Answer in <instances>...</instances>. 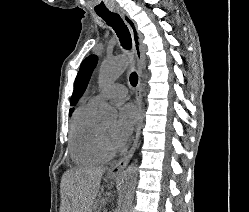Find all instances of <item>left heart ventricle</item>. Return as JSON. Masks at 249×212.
I'll list each match as a JSON object with an SVG mask.
<instances>
[{
  "instance_id": "1",
  "label": "left heart ventricle",
  "mask_w": 249,
  "mask_h": 212,
  "mask_svg": "<svg viewBox=\"0 0 249 212\" xmlns=\"http://www.w3.org/2000/svg\"><path fill=\"white\" fill-rule=\"evenodd\" d=\"M101 131H102V134H103L104 138L106 139V141L110 145L109 140H110V135H111V132H112V125L101 127Z\"/></svg>"
}]
</instances>
